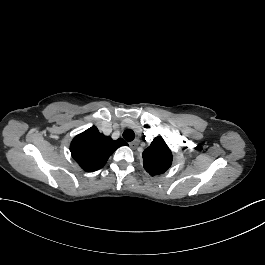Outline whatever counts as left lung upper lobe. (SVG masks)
<instances>
[{"label":"left lung upper lobe","instance_id":"obj_1","mask_svg":"<svg viewBox=\"0 0 265 265\" xmlns=\"http://www.w3.org/2000/svg\"><path fill=\"white\" fill-rule=\"evenodd\" d=\"M144 169L151 175L164 173L172 164V153L162 137H156L142 154Z\"/></svg>","mask_w":265,"mask_h":265}]
</instances>
